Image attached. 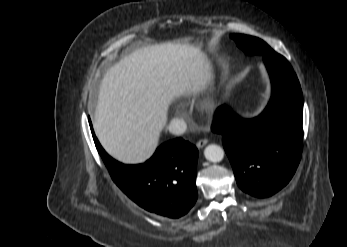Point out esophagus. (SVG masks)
<instances>
[{"instance_id":"obj_1","label":"esophagus","mask_w":347,"mask_h":247,"mask_svg":"<svg viewBox=\"0 0 347 247\" xmlns=\"http://www.w3.org/2000/svg\"><path fill=\"white\" fill-rule=\"evenodd\" d=\"M208 143L207 139H201L196 143L198 149L203 148Z\"/></svg>"}]
</instances>
